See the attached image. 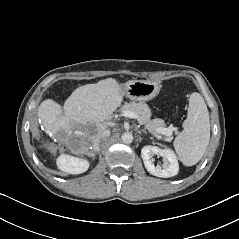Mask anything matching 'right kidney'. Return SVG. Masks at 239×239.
Returning a JSON list of instances; mask_svg holds the SVG:
<instances>
[{
  "mask_svg": "<svg viewBox=\"0 0 239 239\" xmlns=\"http://www.w3.org/2000/svg\"><path fill=\"white\" fill-rule=\"evenodd\" d=\"M58 168L68 174H81L89 168V162L85 159L62 154L57 159Z\"/></svg>",
  "mask_w": 239,
  "mask_h": 239,
  "instance_id": "obj_1",
  "label": "right kidney"
}]
</instances>
